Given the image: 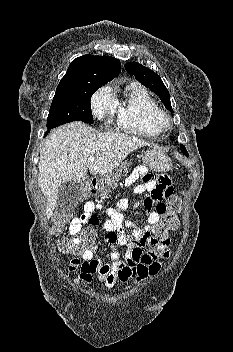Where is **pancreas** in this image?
<instances>
[{
    "instance_id": "pancreas-1",
    "label": "pancreas",
    "mask_w": 233,
    "mask_h": 352,
    "mask_svg": "<svg viewBox=\"0 0 233 352\" xmlns=\"http://www.w3.org/2000/svg\"><path fill=\"white\" fill-rule=\"evenodd\" d=\"M127 173H128V169L125 168V169H124V175H127Z\"/></svg>"
}]
</instances>
